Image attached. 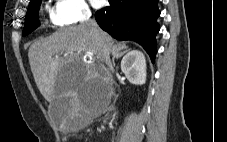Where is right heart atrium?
Here are the masks:
<instances>
[{
  "instance_id": "1",
  "label": "right heart atrium",
  "mask_w": 227,
  "mask_h": 142,
  "mask_svg": "<svg viewBox=\"0 0 227 142\" xmlns=\"http://www.w3.org/2000/svg\"><path fill=\"white\" fill-rule=\"evenodd\" d=\"M52 13L56 23L60 25L84 23L92 16L84 0H56Z\"/></svg>"
}]
</instances>
